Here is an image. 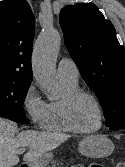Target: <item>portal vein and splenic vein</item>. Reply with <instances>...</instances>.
<instances>
[{"label": "portal vein and splenic vein", "mask_w": 125, "mask_h": 167, "mask_svg": "<svg viewBox=\"0 0 125 167\" xmlns=\"http://www.w3.org/2000/svg\"><path fill=\"white\" fill-rule=\"evenodd\" d=\"M24 149L22 148V149H20V151L22 152Z\"/></svg>", "instance_id": "18ae733b"}]
</instances>
